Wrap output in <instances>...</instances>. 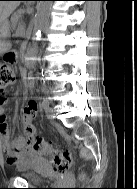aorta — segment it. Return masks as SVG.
I'll return each mask as SVG.
<instances>
[{
  "instance_id": "1",
  "label": "aorta",
  "mask_w": 137,
  "mask_h": 189,
  "mask_svg": "<svg viewBox=\"0 0 137 189\" xmlns=\"http://www.w3.org/2000/svg\"><path fill=\"white\" fill-rule=\"evenodd\" d=\"M51 8H52V1H40L37 5V12L35 16V31L37 37L41 36L42 31L47 26L50 17ZM36 53H37L36 47H33L31 54L36 55Z\"/></svg>"
}]
</instances>
